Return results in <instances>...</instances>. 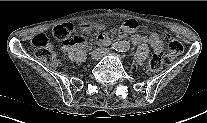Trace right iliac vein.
<instances>
[{
  "label": "right iliac vein",
  "mask_w": 207,
  "mask_h": 123,
  "mask_svg": "<svg viewBox=\"0 0 207 123\" xmlns=\"http://www.w3.org/2000/svg\"><path fill=\"white\" fill-rule=\"evenodd\" d=\"M100 56H101V51L99 49H96L91 53L92 60H97L100 58Z\"/></svg>",
  "instance_id": "right-iliac-vein-1"
}]
</instances>
